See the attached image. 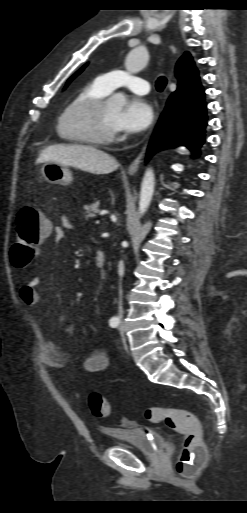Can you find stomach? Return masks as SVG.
Returning <instances> with one entry per match:
<instances>
[{
	"instance_id": "1",
	"label": "stomach",
	"mask_w": 247,
	"mask_h": 513,
	"mask_svg": "<svg viewBox=\"0 0 247 513\" xmlns=\"http://www.w3.org/2000/svg\"><path fill=\"white\" fill-rule=\"evenodd\" d=\"M41 173L51 184L68 185L73 180L71 171L66 166L55 162H46L41 168Z\"/></svg>"
}]
</instances>
